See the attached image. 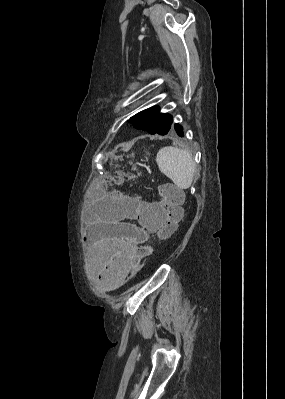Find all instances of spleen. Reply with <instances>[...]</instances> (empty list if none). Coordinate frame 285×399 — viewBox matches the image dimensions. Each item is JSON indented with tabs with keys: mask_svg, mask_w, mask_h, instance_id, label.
Here are the masks:
<instances>
[{
	"mask_svg": "<svg viewBox=\"0 0 285 399\" xmlns=\"http://www.w3.org/2000/svg\"><path fill=\"white\" fill-rule=\"evenodd\" d=\"M156 162L160 171L180 189H188L193 181L195 164L189 151L167 146L159 150Z\"/></svg>",
	"mask_w": 285,
	"mask_h": 399,
	"instance_id": "3e777b00",
	"label": "spleen"
}]
</instances>
